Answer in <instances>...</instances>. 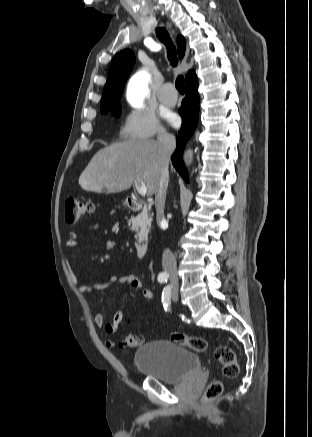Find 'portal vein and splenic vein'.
I'll return each mask as SVG.
<instances>
[{"instance_id": "obj_1", "label": "portal vein and splenic vein", "mask_w": 312, "mask_h": 437, "mask_svg": "<svg viewBox=\"0 0 312 437\" xmlns=\"http://www.w3.org/2000/svg\"><path fill=\"white\" fill-rule=\"evenodd\" d=\"M135 187L137 189V192L140 195H145L147 193V188L145 183L142 180H135Z\"/></svg>"}]
</instances>
